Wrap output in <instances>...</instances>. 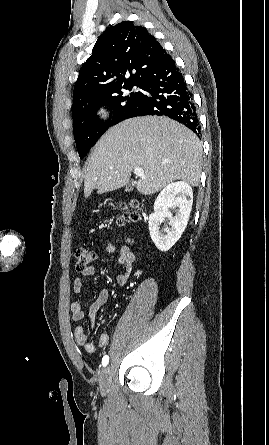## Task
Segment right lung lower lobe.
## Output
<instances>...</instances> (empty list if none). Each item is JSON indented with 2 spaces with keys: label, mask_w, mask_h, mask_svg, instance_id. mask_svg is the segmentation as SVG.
Masks as SVG:
<instances>
[{
  "label": "right lung lower lobe",
  "mask_w": 269,
  "mask_h": 445,
  "mask_svg": "<svg viewBox=\"0 0 269 445\" xmlns=\"http://www.w3.org/2000/svg\"><path fill=\"white\" fill-rule=\"evenodd\" d=\"M139 84L145 93H141L127 118L164 115L200 135V125L192 94L171 56L151 69Z\"/></svg>",
  "instance_id": "right-lung-lower-lobe-1"
}]
</instances>
